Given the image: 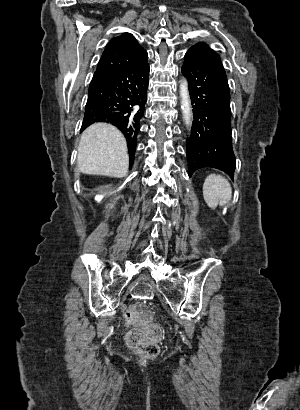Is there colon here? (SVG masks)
<instances>
[{
    "instance_id": "5ec220e1",
    "label": "colon",
    "mask_w": 300,
    "mask_h": 410,
    "mask_svg": "<svg viewBox=\"0 0 300 410\" xmlns=\"http://www.w3.org/2000/svg\"><path fill=\"white\" fill-rule=\"evenodd\" d=\"M125 318L134 326L127 334V345L147 358L158 355L161 329L152 322L149 310L144 305L136 304L126 311Z\"/></svg>"
}]
</instances>
